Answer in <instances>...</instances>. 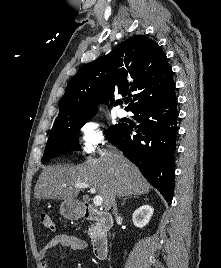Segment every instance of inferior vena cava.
I'll use <instances>...</instances> for the list:
<instances>
[{
  "mask_svg": "<svg viewBox=\"0 0 221 268\" xmlns=\"http://www.w3.org/2000/svg\"><path fill=\"white\" fill-rule=\"evenodd\" d=\"M112 205H113V214L115 216H117V204H116V200L115 199L113 200Z\"/></svg>",
  "mask_w": 221,
  "mask_h": 268,
  "instance_id": "inferior-vena-cava-1",
  "label": "inferior vena cava"
}]
</instances>
